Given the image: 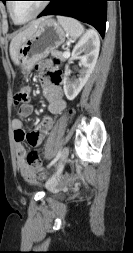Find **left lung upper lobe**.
Masks as SVG:
<instances>
[{
	"label": "left lung upper lobe",
	"instance_id": "1",
	"mask_svg": "<svg viewBox=\"0 0 133 253\" xmlns=\"http://www.w3.org/2000/svg\"><path fill=\"white\" fill-rule=\"evenodd\" d=\"M0 1H2V2H4V3H5V1H6V0H0Z\"/></svg>",
	"mask_w": 133,
	"mask_h": 253
}]
</instances>
